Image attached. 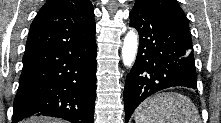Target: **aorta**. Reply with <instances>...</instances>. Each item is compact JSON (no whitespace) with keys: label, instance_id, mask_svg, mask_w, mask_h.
<instances>
[{"label":"aorta","instance_id":"762f6f07","mask_svg":"<svg viewBox=\"0 0 221 123\" xmlns=\"http://www.w3.org/2000/svg\"><path fill=\"white\" fill-rule=\"evenodd\" d=\"M137 49H138V35L132 29L126 34L122 46V60L125 66L128 67L132 66L137 55Z\"/></svg>","mask_w":221,"mask_h":123}]
</instances>
